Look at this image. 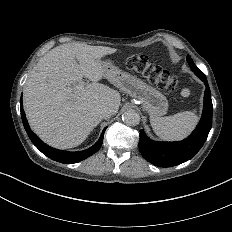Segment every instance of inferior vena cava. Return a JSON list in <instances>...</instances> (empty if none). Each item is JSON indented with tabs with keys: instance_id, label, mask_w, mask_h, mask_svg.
Listing matches in <instances>:
<instances>
[{
	"instance_id": "602c4592",
	"label": "inferior vena cava",
	"mask_w": 232,
	"mask_h": 232,
	"mask_svg": "<svg viewBox=\"0 0 232 232\" xmlns=\"http://www.w3.org/2000/svg\"><path fill=\"white\" fill-rule=\"evenodd\" d=\"M98 114L101 118L107 119L114 114V111L107 106H101L98 108Z\"/></svg>"
}]
</instances>
